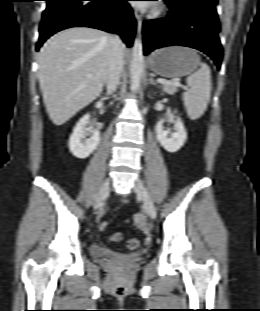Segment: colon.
Listing matches in <instances>:
<instances>
[{
  "label": "colon",
  "mask_w": 260,
  "mask_h": 311,
  "mask_svg": "<svg viewBox=\"0 0 260 311\" xmlns=\"http://www.w3.org/2000/svg\"><path fill=\"white\" fill-rule=\"evenodd\" d=\"M108 227V223L107 222H103L100 225V229L102 231L106 230ZM122 239V234L121 233H114L111 235L110 240L112 242H118ZM139 247V240L136 238H131L127 241V248L129 250H136Z\"/></svg>",
  "instance_id": "colon-1"
}]
</instances>
